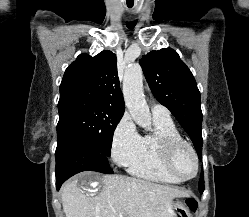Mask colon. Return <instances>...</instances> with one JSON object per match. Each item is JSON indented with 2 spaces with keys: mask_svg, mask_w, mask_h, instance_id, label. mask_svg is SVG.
Instances as JSON below:
<instances>
[{
  "mask_svg": "<svg viewBox=\"0 0 249 217\" xmlns=\"http://www.w3.org/2000/svg\"><path fill=\"white\" fill-rule=\"evenodd\" d=\"M185 206L191 211H196L198 209V200L194 197H189L185 200Z\"/></svg>",
  "mask_w": 249,
  "mask_h": 217,
  "instance_id": "obj_1",
  "label": "colon"
}]
</instances>
